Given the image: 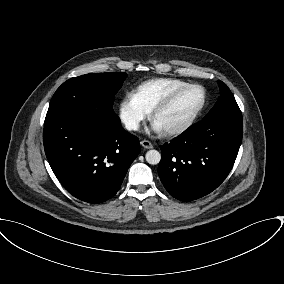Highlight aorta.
I'll return each instance as SVG.
<instances>
[{
	"instance_id": "obj_1",
	"label": "aorta",
	"mask_w": 284,
	"mask_h": 284,
	"mask_svg": "<svg viewBox=\"0 0 284 284\" xmlns=\"http://www.w3.org/2000/svg\"><path fill=\"white\" fill-rule=\"evenodd\" d=\"M146 161L151 164V165H156L160 162L161 160V154L159 153V151L157 150H149L147 153H146Z\"/></svg>"
}]
</instances>
